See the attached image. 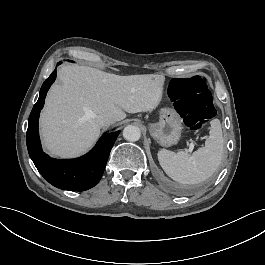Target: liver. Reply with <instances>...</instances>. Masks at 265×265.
<instances>
[{"instance_id":"1","label":"liver","mask_w":265,"mask_h":265,"mask_svg":"<svg viewBox=\"0 0 265 265\" xmlns=\"http://www.w3.org/2000/svg\"><path fill=\"white\" fill-rule=\"evenodd\" d=\"M163 75L118 76L78 65L63 66L41 116L44 143L53 154L86 151L100 133V115L115 121L129 113L152 112L162 101Z\"/></svg>"}]
</instances>
